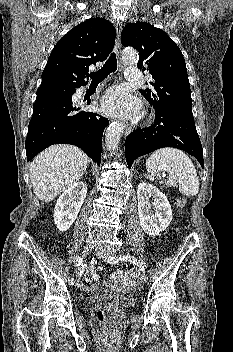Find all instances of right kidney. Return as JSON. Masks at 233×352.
Segmentation results:
<instances>
[{
  "instance_id": "right-kidney-1",
  "label": "right kidney",
  "mask_w": 233,
  "mask_h": 352,
  "mask_svg": "<svg viewBox=\"0 0 233 352\" xmlns=\"http://www.w3.org/2000/svg\"><path fill=\"white\" fill-rule=\"evenodd\" d=\"M87 186L84 182L71 185L58 198L54 208V222L60 231H66L74 223L86 198Z\"/></svg>"
}]
</instances>
